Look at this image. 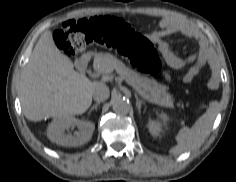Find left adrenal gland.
Instances as JSON below:
<instances>
[{"label":"left adrenal gland","mask_w":236,"mask_h":182,"mask_svg":"<svg viewBox=\"0 0 236 182\" xmlns=\"http://www.w3.org/2000/svg\"><path fill=\"white\" fill-rule=\"evenodd\" d=\"M135 98H136V107L138 109V113L141 114V106L142 104H144L143 100H140L137 96V94H135Z\"/></svg>","instance_id":"a2214340"}]
</instances>
